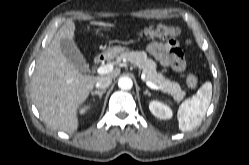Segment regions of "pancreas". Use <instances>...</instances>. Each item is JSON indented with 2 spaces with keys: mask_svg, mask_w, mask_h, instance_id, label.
I'll use <instances>...</instances> for the list:
<instances>
[{
  "mask_svg": "<svg viewBox=\"0 0 249 165\" xmlns=\"http://www.w3.org/2000/svg\"><path fill=\"white\" fill-rule=\"evenodd\" d=\"M122 59H128L134 66L142 69L146 81L160 86L163 92L171 94L176 101L179 102L184 98L185 92L182 91L180 85L166 79L162 73L157 72L156 63L149 59L144 51H125L117 56L116 62L119 63Z\"/></svg>",
  "mask_w": 249,
  "mask_h": 165,
  "instance_id": "pancreas-1",
  "label": "pancreas"
}]
</instances>
